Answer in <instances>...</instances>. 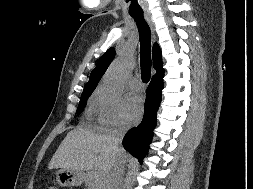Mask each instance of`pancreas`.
Listing matches in <instances>:
<instances>
[{"label":"pancreas","mask_w":253,"mask_h":189,"mask_svg":"<svg viewBox=\"0 0 253 189\" xmlns=\"http://www.w3.org/2000/svg\"><path fill=\"white\" fill-rule=\"evenodd\" d=\"M85 184L88 189H103L104 174L97 170H91L86 173Z\"/></svg>","instance_id":"cf45deb5"}]
</instances>
